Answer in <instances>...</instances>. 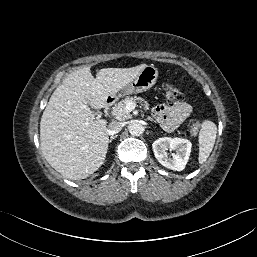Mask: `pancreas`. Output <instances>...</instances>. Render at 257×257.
<instances>
[{"label":"pancreas","mask_w":257,"mask_h":257,"mask_svg":"<svg viewBox=\"0 0 257 257\" xmlns=\"http://www.w3.org/2000/svg\"><path fill=\"white\" fill-rule=\"evenodd\" d=\"M139 101L145 108H148V103L141 97H126L122 101L118 102L112 110V114L116 117L117 120L123 121L125 119L131 118L130 112L126 111L125 107L128 102L137 103Z\"/></svg>","instance_id":"obj_1"}]
</instances>
